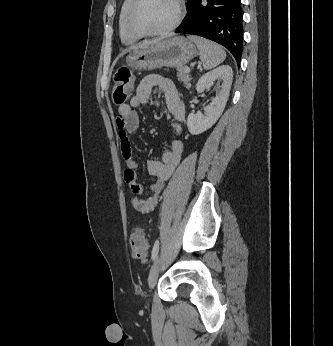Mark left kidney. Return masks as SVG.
<instances>
[{"mask_svg":"<svg viewBox=\"0 0 333 346\" xmlns=\"http://www.w3.org/2000/svg\"><path fill=\"white\" fill-rule=\"evenodd\" d=\"M233 80V71L229 65H222L200 77L196 84L198 93L211 87L215 81L218 85V93L212 99L210 105L201 112L190 113L187 117V127L192 135H198L211 128L222 115ZM220 83L221 86H220Z\"/></svg>","mask_w":333,"mask_h":346,"instance_id":"obj_1","label":"left kidney"}]
</instances>
